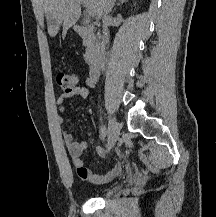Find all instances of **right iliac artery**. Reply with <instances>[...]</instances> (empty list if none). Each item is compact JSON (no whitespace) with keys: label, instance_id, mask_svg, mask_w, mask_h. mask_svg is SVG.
Here are the masks:
<instances>
[{"label":"right iliac artery","instance_id":"right-iliac-artery-1","mask_svg":"<svg viewBox=\"0 0 216 217\" xmlns=\"http://www.w3.org/2000/svg\"><path fill=\"white\" fill-rule=\"evenodd\" d=\"M100 133L103 139L107 136L108 131L105 125L101 126Z\"/></svg>","mask_w":216,"mask_h":217}]
</instances>
